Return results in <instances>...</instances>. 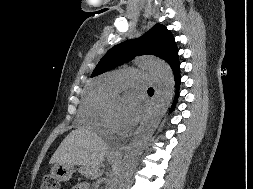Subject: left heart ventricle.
Instances as JSON below:
<instances>
[{"label":"left heart ventricle","mask_w":253,"mask_h":189,"mask_svg":"<svg viewBox=\"0 0 253 189\" xmlns=\"http://www.w3.org/2000/svg\"><path fill=\"white\" fill-rule=\"evenodd\" d=\"M110 111H111V114H112L114 124L117 127L122 128L121 124H120V115H121V112H122V106H120V105L112 106L110 108Z\"/></svg>","instance_id":"obj_1"}]
</instances>
